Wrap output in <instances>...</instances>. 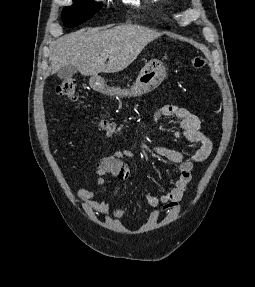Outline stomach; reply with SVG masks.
I'll use <instances>...</instances> for the list:
<instances>
[{"label":"stomach","instance_id":"1","mask_svg":"<svg viewBox=\"0 0 255 287\" xmlns=\"http://www.w3.org/2000/svg\"><path fill=\"white\" fill-rule=\"evenodd\" d=\"M164 78V68H156V70H148V72H144V70H142L134 86H132L130 90L110 88V86H106V82H104L103 78H100L97 74L90 78L89 84L93 90L101 92V94H106V96H120V98H126V96H128V98H132V96H142V94H147V92L155 90V88L163 82Z\"/></svg>","mask_w":255,"mask_h":287}]
</instances>
